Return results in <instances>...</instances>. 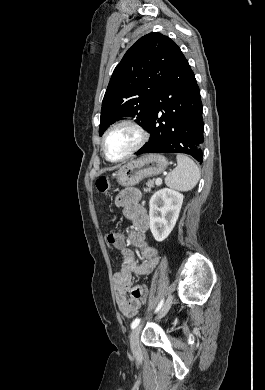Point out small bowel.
Segmentation results:
<instances>
[{
  "label": "small bowel",
  "instance_id": "small-bowel-1",
  "mask_svg": "<svg viewBox=\"0 0 265 390\" xmlns=\"http://www.w3.org/2000/svg\"><path fill=\"white\" fill-rule=\"evenodd\" d=\"M140 198V192L134 188L124 189L116 197V204L123 207L125 217L133 223V230L128 238L118 231L115 245L121 254V269L114 274L116 299L120 312L127 318L137 314L141 305L139 292L145 287L134 284L133 275L150 274L159 261L158 251L146 240L149 216L145 208L140 205ZM128 245L138 250L142 263L137 262Z\"/></svg>",
  "mask_w": 265,
  "mask_h": 390
}]
</instances>
